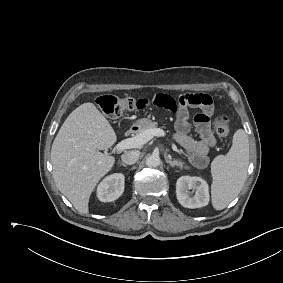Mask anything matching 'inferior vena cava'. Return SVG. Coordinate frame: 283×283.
Instances as JSON below:
<instances>
[{
	"label": "inferior vena cava",
	"mask_w": 283,
	"mask_h": 283,
	"mask_svg": "<svg viewBox=\"0 0 283 283\" xmlns=\"http://www.w3.org/2000/svg\"><path fill=\"white\" fill-rule=\"evenodd\" d=\"M140 152L137 150H131L122 154L121 159L124 164L132 165L137 162Z\"/></svg>",
	"instance_id": "602c4592"
}]
</instances>
